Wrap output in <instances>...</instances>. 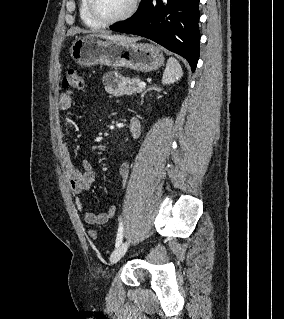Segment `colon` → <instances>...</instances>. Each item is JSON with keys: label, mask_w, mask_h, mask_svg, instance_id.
Masks as SVG:
<instances>
[{"label": "colon", "mask_w": 284, "mask_h": 319, "mask_svg": "<svg viewBox=\"0 0 284 319\" xmlns=\"http://www.w3.org/2000/svg\"><path fill=\"white\" fill-rule=\"evenodd\" d=\"M63 87L65 88H82L83 87V79L79 71L75 68H68L65 72ZM88 235L91 239H96L97 234L94 230H90Z\"/></svg>", "instance_id": "1"}]
</instances>
